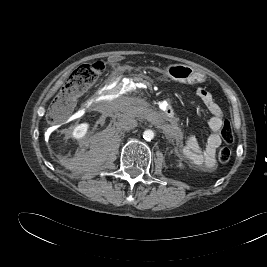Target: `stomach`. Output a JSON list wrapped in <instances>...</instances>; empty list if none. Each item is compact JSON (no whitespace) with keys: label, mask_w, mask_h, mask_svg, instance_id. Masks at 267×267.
Segmentation results:
<instances>
[{"label":"stomach","mask_w":267,"mask_h":267,"mask_svg":"<svg viewBox=\"0 0 267 267\" xmlns=\"http://www.w3.org/2000/svg\"><path fill=\"white\" fill-rule=\"evenodd\" d=\"M165 74L172 80L180 83H201L205 76L194 68L184 64H171L165 69Z\"/></svg>","instance_id":"stomach-1"}]
</instances>
